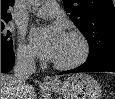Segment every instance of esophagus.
Here are the masks:
<instances>
[{
  "label": "esophagus",
  "mask_w": 115,
  "mask_h": 99,
  "mask_svg": "<svg viewBox=\"0 0 115 99\" xmlns=\"http://www.w3.org/2000/svg\"><path fill=\"white\" fill-rule=\"evenodd\" d=\"M43 80H44V82L47 83V84H54V83L56 82L54 78H52V77H50V76H48V75L45 76Z\"/></svg>",
  "instance_id": "obj_1"
}]
</instances>
